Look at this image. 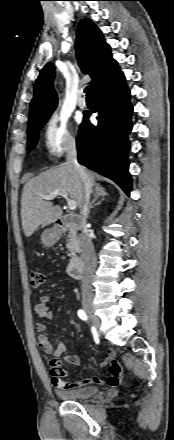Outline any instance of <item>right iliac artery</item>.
<instances>
[{
  "instance_id": "1",
  "label": "right iliac artery",
  "mask_w": 174,
  "mask_h": 440,
  "mask_svg": "<svg viewBox=\"0 0 174 440\" xmlns=\"http://www.w3.org/2000/svg\"><path fill=\"white\" fill-rule=\"evenodd\" d=\"M78 316L84 321L88 319L86 313L83 310H78Z\"/></svg>"
}]
</instances>
